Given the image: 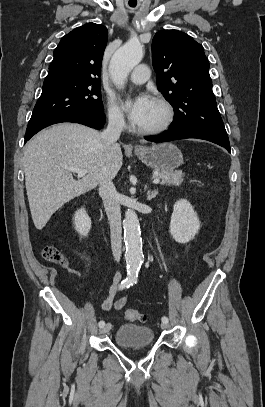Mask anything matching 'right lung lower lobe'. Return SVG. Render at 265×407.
Here are the masks:
<instances>
[{
  "instance_id": "right-lung-lower-lobe-1",
  "label": "right lung lower lobe",
  "mask_w": 265,
  "mask_h": 407,
  "mask_svg": "<svg viewBox=\"0 0 265 407\" xmlns=\"http://www.w3.org/2000/svg\"><path fill=\"white\" fill-rule=\"evenodd\" d=\"M61 122H74L80 123L95 129H101L105 123V114L99 111H79L75 113L65 114L58 118L44 122L43 124L26 130L25 142H27L33 135L42 130L43 128Z\"/></svg>"
}]
</instances>
